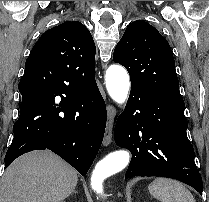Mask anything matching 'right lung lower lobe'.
Here are the masks:
<instances>
[{"instance_id":"98d812e1","label":"right lung lower lobe","mask_w":209,"mask_h":202,"mask_svg":"<svg viewBox=\"0 0 209 202\" xmlns=\"http://www.w3.org/2000/svg\"><path fill=\"white\" fill-rule=\"evenodd\" d=\"M18 88L20 115L5 167L26 152L48 149L86 175L106 127V106L97 84L77 90L46 69H35L25 70Z\"/></svg>"}]
</instances>
